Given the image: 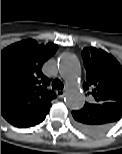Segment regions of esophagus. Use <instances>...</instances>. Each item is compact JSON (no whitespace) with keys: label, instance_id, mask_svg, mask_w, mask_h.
I'll return each mask as SVG.
<instances>
[{"label":"esophagus","instance_id":"esophagus-1","mask_svg":"<svg viewBox=\"0 0 122 154\" xmlns=\"http://www.w3.org/2000/svg\"><path fill=\"white\" fill-rule=\"evenodd\" d=\"M56 94H57V96H58L59 98H63L64 95H65V92H64L63 90H57V91H56Z\"/></svg>","mask_w":122,"mask_h":154}]
</instances>
